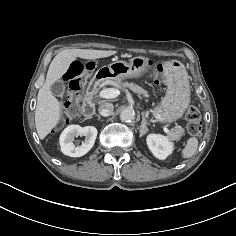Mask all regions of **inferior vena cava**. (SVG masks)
I'll return each mask as SVG.
<instances>
[{"instance_id":"obj_1","label":"inferior vena cava","mask_w":236,"mask_h":236,"mask_svg":"<svg viewBox=\"0 0 236 236\" xmlns=\"http://www.w3.org/2000/svg\"><path fill=\"white\" fill-rule=\"evenodd\" d=\"M113 105L110 103H103L99 106L98 111L100 115L107 117L110 116L113 113Z\"/></svg>"}]
</instances>
